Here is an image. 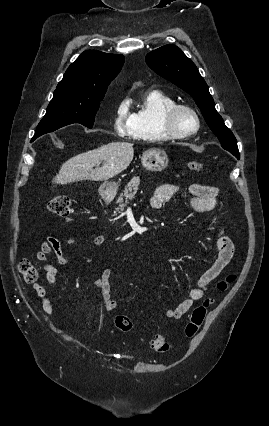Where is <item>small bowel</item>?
<instances>
[{"label": "small bowel", "mask_w": 269, "mask_h": 426, "mask_svg": "<svg viewBox=\"0 0 269 426\" xmlns=\"http://www.w3.org/2000/svg\"><path fill=\"white\" fill-rule=\"evenodd\" d=\"M191 195L190 206L196 212H209L220 206L218 201L219 189L212 186L201 184H191L187 188ZM180 193V188L172 184H164L155 190L151 199V206L154 209H160L165 202L176 198ZM106 241L104 235H97L92 239L94 246L103 245ZM215 243L218 249L217 257L212 265L198 278L196 285L189 292L187 298L182 300L176 307L166 310L165 317L169 319H179L183 317L193 306L194 302L203 298L210 285L220 276L234 256V244L219 229L215 236ZM76 244L75 239H68L64 242L59 241L54 236H48L42 242L36 258L40 262H48L51 256H54L59 265H66L69 258L65 252L66 248ZM45 278L51 287L57 283V269L52 264L44 265ZM113 275L111 268L103 270L101 275L94 281L95 287L99 290L107 310H114L118 306V302L111 298L110 279ZM32 288L36 295L40 298L43 310L47 314L56 312L55 306L49 299L47 290L40 284L34 283Z\"/></svg>", "instance_id": "c3829d8e"}]
</instances>
